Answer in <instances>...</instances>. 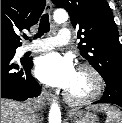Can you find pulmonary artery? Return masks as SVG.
Returning <instances> with one entry per match:
<instances>
[{"label": "pulmonary artery", "instance_id": "1", "mask_svg": "<svg viewBox=\"0 0 122 123\" xmlns=\"http://www.w3.org/2000/svg\"><path fill=\"white\" fill-rule=\"evenodd\" d=\"M70 39V31L67 28H62L55 37L37 40L32 45L21 47L20 52L24 54L27 52L49 51L56 47L68 44Z\"/></svg>", "mask_w": 122, "mask_h": 123}]
</instances>
